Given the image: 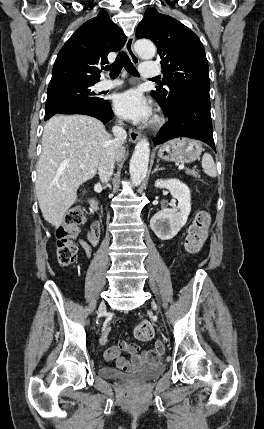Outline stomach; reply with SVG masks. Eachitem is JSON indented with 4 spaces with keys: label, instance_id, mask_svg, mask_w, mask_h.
I'll use <instances>...</instances> for the list:
<instances>
[{
    "label": "stomach",
    "instance_id": "0dacf381",
    "mask_svg": "<svg viewBox=\"0 0 264 429\" xmlns=\"http://www.w3.org/2000/svg\"><path fill=\"white\" fill-rule=\"evenodd\" d=\"M201 142L190 138H175L162 144L158 157L165 161L190 163L195 161L202 152Z\"/></svg>",
    "mask_w": 264,
    "mask_h": 429
}]
</instances>
